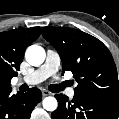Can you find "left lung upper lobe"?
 <instances>
[{
	"label": "left lung upper lobe",
	"mask_w": 119,
	"mask_h": 119,
	"mask_svg": "<svg viewBox=\"0 0 119 119\" xmlns=\"http://www.w3.org/2000/svg\"><path fill=\"white\" fill-rule=\"evenodd\" d=\"M42 34L59 53L63 71L73 73L78 83L75 93L119 100L117 69L100 40L68 27H44Z\"/></svg>",
	"instance_id": "1"
}]
</instances>
